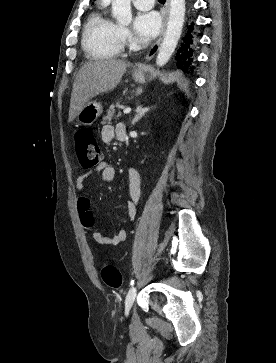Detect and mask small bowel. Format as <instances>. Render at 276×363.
Instances as JSON below:
<instances>
[{
  "instance_id": "1",
  "label": "small bowel",
  "mask_w": 276,
  "mask_h": 363,
  "mask_svg": "<svg viewBox=\"0 0 276 363\" xmlns=\"http://www.w3.org/2000/svg\"><path fill=\"white\" fill-rule=\"evenodd\" d=\"M123 133L126 134V128L123 124H107L104 125L101 130V138L104 143H109L115 137L119 139V136ZM97 172L100 173V178L103 182L110 183L115 180V168L103 162L95 168L79 175L75 180L76 189L80 192H84L86 190V179ZM140 183L141 179L139 172L136 169L131 168L129 170V198L125 200L127 213L131 221L135 220L139 209L141 199ZM77 205L78 209L85 214L86 221L88 222L87 228L90 230L91 236L96 243L100 245H119L126 240L127 232L124 229H119L113 236L105 235L92 229L93 218L92 213L89 211L90 201L86 196H80Z\"/></svg>"
}]
</instances>
